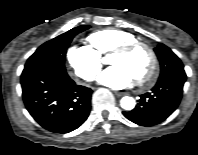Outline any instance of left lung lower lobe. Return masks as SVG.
<instances>
[{"label": "left lung lower lobe", "mask_w": 198, "mask_h": 155, "mask_svg": "<svg viewBox=\"0 0 198 155\" xmlns=\"http://www.w3.org/2000/svg\"><path fill=\"white\" fill-rule=\"evenodd\" d=\"M186 74H175L158 80L151 93L140 96L138 105L129 112H123L130 121L142 125L153 126L166 120L178 107L182 98ZM148 112L149 118H141Z\"/></svg>", "instance_id": "0a47b994"}]
</instances>
